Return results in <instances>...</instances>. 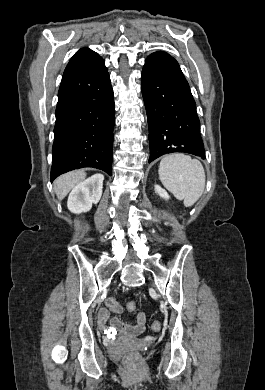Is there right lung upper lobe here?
Instances as JSON below:
<instances>
[{"mask_svg":"<svg viewBox=\"0 0 265 390\" xmlns=\"http://www.w3.org/2000/svg\"><path fill=\"white\" fill-rule=\"evenodd\" d=\"M101 61L103 59L97 53L88 48H82L70 59L65 68L62 80L73 77Z\"/></svg>","mask_w":265,"mask_h":390,"instance_id":"cb5924a9","label":"right lung upper lobe"}]
</instances>
